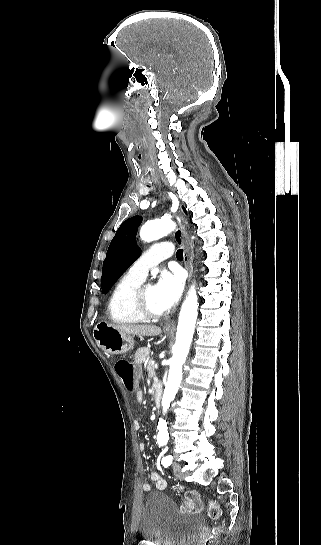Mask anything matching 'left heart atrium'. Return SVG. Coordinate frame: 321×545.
Wrapping results in <instances>:
<instances>
[{
    "label": "left heart atrium",
    "instance_id": "39dd6f15",
    "mask_svg": "<svg viewBox=\"0 0 321 545\" xmlns=\"http://www.w3.org/2000/svg\"><path fill=\"white\" fill-rule=\"evenodd\" d=\"M184 288V276L179 270L160 272L155 285L157 303L164 313L169 312L178 302Z\"/></svg>",
    "mask_w": 321,
    "mask_h": 545
}]
</instances>
